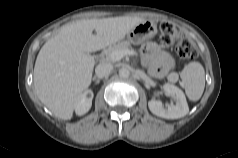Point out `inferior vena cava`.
Listing matches in <instances>:
<instances>
[{"label":"inferior vena cava","mask_w":238,"mask_h":158,"mask_svg":"<svg viewBox=\"0 0 238 158\" xmlns=\"http://www.w3.org/2000/svg\"><path fill=\"white\" fill-rule=\"evenodd\" d=\"M113 70V65L107 62H102L100 63L96 69H95V73L97 75V77L102 78L108 74H110Z\"/></svg>","instance_id":"1"}]
</instances>
